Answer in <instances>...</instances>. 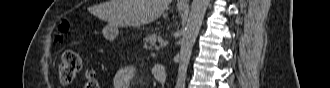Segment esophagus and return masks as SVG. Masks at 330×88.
I'll return each mask as SVG.
<instances>
[{
  "label": "esophagus",
  "instance_id": "1",
  "mask_svg": "<svg viewBox=\"0 0 330 88\" xmlns=\"http://www.w3.org/2000/svg\"><path fill=\"white\" fill-rule=\"evenodd\" d=\"M178 4L179 5H182V6H188L189 5V1L188 0H179L178 1Z\"/></svg>",
  "mask_w": 330,
  "mask_h": 88
}]
</instances>
